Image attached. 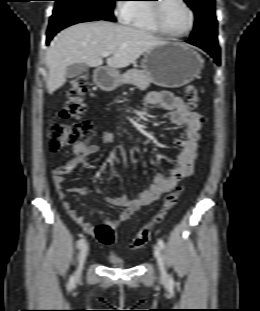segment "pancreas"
Instances as JSON below:
<instances>
[{"instance_id": "1", "label": "pancreas", "mask_w": 260, "mask_h": 311, "mask_svg": "<svg viewBox=\"0 0 260 311\" xmlns=\"http://www.w3.org/2000/svg\"><path fill=\"white\" fill-rule=\"evenodd\" d=\"M151 80L140 70L130 69L118 80V84H132L140 90H146L150 85Z\"/></svg>"}]
</instances>
